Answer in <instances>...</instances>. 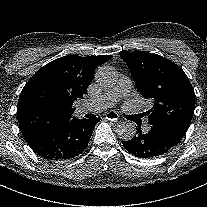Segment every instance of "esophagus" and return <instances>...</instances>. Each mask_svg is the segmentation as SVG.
<instances>
[{"mask_svg": "<svg viewBox=\"0 0 207 207\" xmlns=\"http://www.w3.org/2000/svg\"><path fill=\"white\" fill-rule=\"evenodd\" d=\"M105 118L110 121H117L119 119V115L115 111H110L106 113Z\"/></svg>", "mask_w": 207, "mask_h": 207, "instance_id": "34e87169", "label": "esophagus"}]
</instances>
